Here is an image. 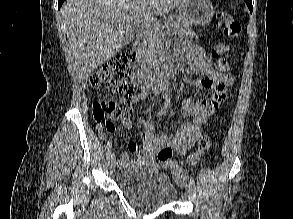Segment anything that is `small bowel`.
Listing matches in <instances>:
<instances>
[{"instance_id":"obj_1","label":"small bowel","mask_w":293,"mask_h":219,"mask_svg":"<svg viewBox=\"0 0 293 219\" xmlns=\"http://www.w3.org/2000/svg\"><path fill=\"white\" fill-rule=\"evenodd\" d=\"M178 58L185 62L193 73L203 75L202 78L192 81L191 85L212 90V96L197 102L190 99L183 101L182 114L192 117V119L183 122L174 135L157 130L152 122L145 121L143 123L144 132L140 136L144 151L138 152L136 144L130 142L127 151L122 153L119 161L120 166L152 161L155 154L164 147L173 148L181 155L186 154L201 137L209 117L226 100V91L233 86L234 80L230 74H222L216 70L202 48L182 41L178 44ZM147 97L146 91L140 92L133 98V102L140 103ZM123 126L126 129L132 128V120L127 119L123 122ZM100 137L104 139L102 133H100ZM128 152L136 155L134 162L129 161Z\"/></svg>"}]
</instances>
